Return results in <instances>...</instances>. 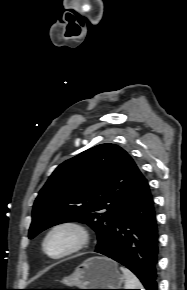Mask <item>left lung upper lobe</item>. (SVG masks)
Masks as SVG:
<instances>
[{
	"label": "left lung upper lobe",
	"mask_w": 187,
	"mask_h": 290,
	"mask_svg": "<svg viewBox=\"0 0 187 290\" xmlns=\"http://www.w3.org/2000/svg\"><path fill=\"white\" fill-rule=\"evenodd\" d=\"M145 179L130 155L106 143L60 164L39 192L29 238L60 223L78 221L97 232L102 245L122 203Z\"/></svg>",
	"instance_id": "5c2ea615"
}]
</instances>
